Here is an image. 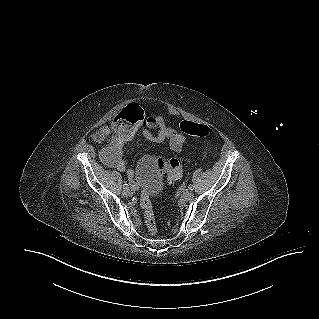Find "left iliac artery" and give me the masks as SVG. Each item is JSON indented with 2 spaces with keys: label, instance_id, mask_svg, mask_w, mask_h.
Here are the masks:
<instances>
[{
  "label": "left iliac artery",
  "instance_id": "left-iliac-artery-1",
  "mask_svg": "<svg viewBox=\"0 0 319 319\" xmlns=\"http://www.w3.org/2000/svg\"><path fill=\"white\" fill-rule=\"evenodd\" d=\"M188 188H189V190H191V191L194 190V186H193V185H189Z\"/></svg>",
  "mask_w": 319,
  "mask_h": 319
}]
</instances>
